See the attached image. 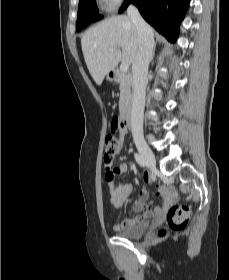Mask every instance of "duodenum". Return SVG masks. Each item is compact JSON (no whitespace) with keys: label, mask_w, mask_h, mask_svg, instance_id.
Instances as JSON below:
<instances>
[{"label":"duodenum","mask_w":229,"mask_h":280,"mask_svg":"<svg viewBox=\"0 0 229 280\" xmlns=\"http://www.w3.org/2000/svg\"><path fill=\"white\" fill-rule=\"evenodd\" d=\"M113 77L115 81H120L121 80V74L118 71H115L113 73ZM132 110H133V103L132 101H129L127 105L124 107L121 115H120V126L124 130H128V128L131 125V115H132Z\"/></svg>","instance_id":"duodenum-1"}]
</instances>
